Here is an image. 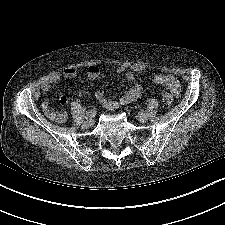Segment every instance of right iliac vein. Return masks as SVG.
<instances>
[{
    "mask_svg": "<svg viewBox=\"0 0 225 225\" xmlns=\"http://www.w3.org/2000/svg\"><path fill=\"white\" fill-rule=\"evenodd\" d=\"M91 125H92V120L91 119H88L85 122H83L82 128L88 129L89 127H91Z\"/></svg>",
    "mask_w": 225,
    "mask_h": 225,
    "instance_id": "63e3f726",
    "label": "right iliac vein"
}]
</instances>
